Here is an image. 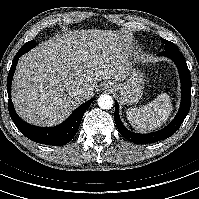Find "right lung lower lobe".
Returning <instances> with one entry per match:
<instances>
[{"instance_id": "obj_1", "label": "right lung lower lobe", "mask_w": 199, "mask_h": 199, "mask_svg": "<svg viewBox=\"0 0 199 199\" xmlns=\"http://www.w3.org/2000/svg\"><path fill=\"white\" fill-rule=\"evenodd\" d=\"M28 48H20L16 56L14 57V61L12 62L8 78H7V92H8V109L9 114L17 126V128L21 131V133L26 136L28 139L46 145L52 146H61L70 142L73 137L76 135L79 125L81 123L82 117L87 110V108L91 105L94 98L80 105L71 115L70 117L63 122L62 124L50 127L43 128L30 125L24 122L15 112L12 100H11V81L16 69V65L19 57L28 52Z\"/></svg>"}]
</instances>
